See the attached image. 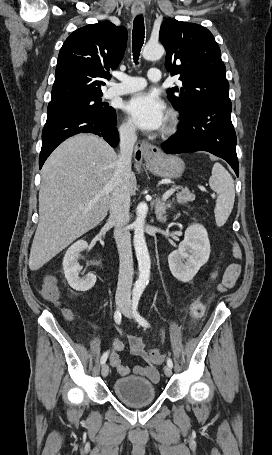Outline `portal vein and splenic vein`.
Returning <instances> with one entry per match:
<instances>
[{"mask_svg": "<svg viewBox=\"0 0 272 455\" xmlns=\"http://www.w3.org/2000/svg\"><path fill=\"white\" fill-rule=\"evenodd\" d=\"M175 190L176 188H170L169 190H167L166 193L163 195V199L166 200L175 192Z\"/></svg>", "mask_w": 272, "mask_h": 455, "instance_id": "portal-vein-and-splenic-vein-1", "label": "portal vein and splenic vein"}]
</instances>
